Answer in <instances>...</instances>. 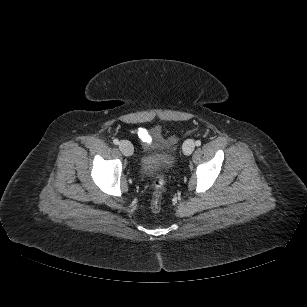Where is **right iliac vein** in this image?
<instances>
[{
	"mask_svg": "<svg viewBox=\"0 0 307 307\" xmlns=\"http://www.w3.org/2000/svg\"><path fill=\"white\" fill-rule=\"evenodd\" d=\"M119 149L125 156H131L133 154V146L129 141H121L119 143Z\"/></svg>",
	"mask_w": 307,
	"mask_h": 307,
	"instance_id": "right-iliac-vein-1",
	"label": "right iliac vein"
}]
</instances>
